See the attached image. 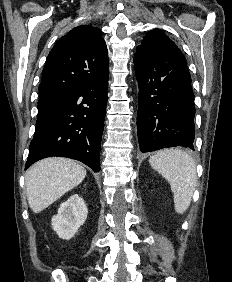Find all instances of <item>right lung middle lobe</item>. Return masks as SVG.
<instances>
[{"label":"right lung middle lobe","mask_w":232,"mask_h":282,"mask_svg":"<svg viewBox=\"0 0 232 282\" xmlns=\"http://www.w3.org/2000/svg\"><path fill=\"white\" fill-rule=\"evenodd\" d=\"M58 100L59 98L51 94L40 95L38 101V117L45 115Z\"/></svg>","instance_id":"1"}]
</instances>
